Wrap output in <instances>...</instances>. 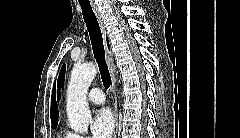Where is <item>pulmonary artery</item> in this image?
I'll return each mask as SVG.
<instances>
[{"label":"pulmonary artery","mask_w":240,"mask_h":138,"mask_svg":"<svg viewBox=\"0 0 240 138\" xmlns=\"http://www.w3.org/2000/svg\"><path fill=\"white\" fill-rule=\"evenodd\" d=\"M88 99L90 102L101 105L105 102V96L101 89L99 88H93L88 94Z\"/></svg>","instance_id":"e3ab8cb5"}]
</instances>
